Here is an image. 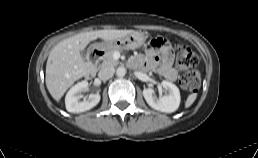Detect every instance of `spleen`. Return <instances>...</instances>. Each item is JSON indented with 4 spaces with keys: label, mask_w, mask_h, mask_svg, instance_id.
Masks as SVG:
<instances>
[{
    "label": "spleen",
    "mask_w": 258,
    "mask_h": 158,
    "mask_svg": "<svg viewBox=\"0 0 258 158\" xmlns=\"http://www.w3.org/2000/svg\"><path fill=\"white\" fill-rule=\"evenodd\" d=\"M196 98H197V94H196V93L190 94V95L187 97V99H186L185 108L190 107V106L194 103V101L196 100Z\"/></svg>",
    "instance_id": "obj_1"
}]
</instances>
